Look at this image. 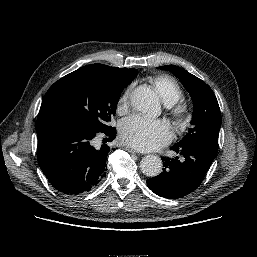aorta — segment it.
Segmentation results:
<instances>
[{
	"label": "aorta",
	"instance_id": "aorta-1",
	"mask_svg": "<svg viewBox=\"0 0 257 257\" xmlns=\"http://www.w3.org/2000/svg\"><path fill=\"white\" fill-rule=\"evenodd\" d=\"M130 100L136 110L146 115H154L160 109L157 94L144 85L137 87L132 92ZM140 167L144 175L155 177L162 171V160L156 155H147L141 160Z\"/></svg>",
	"mask_w": 257,
	"mask_h": 257
}]
</instances>
